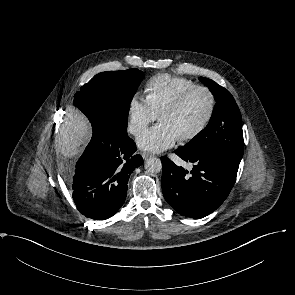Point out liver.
<instances>
[{"instance_id":"6515ba94","label":"liver","mask_w":295,"mask_h":295,"mask_svg":"<svg viewBox=\"0 0 295 295\" xmlns=\"http://www.w3.org/2000/svg\"><path fill=\"white\" fill-rule=\"evenodd\" d=\"M91 137V127L84 115L69 107L56 140L58 150L66 157L78 155Z\"/></svg>"}]
</instances>
